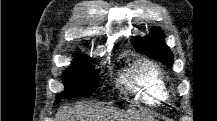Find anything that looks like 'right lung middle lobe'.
Instances as JSON below:
<instances>
[{
	"instance_id": "obj_1",
	"label": "right lung middle lobe",
	"mask_w": 217,
	"mask_h": 121,
	"mask_svg": "<svg viewBox=\"0 0 217 121\" xmlns=\"http://www.w3.org/2000/svg\"><path fill=\"white\" fill-rule=\"evenodd\" d=\"M92 63L89 57H77L74 64L63 73L65 91L56 96V102L62 97H86L98 88V74L88 73Z\"/></svg>"
}]
</instances>
